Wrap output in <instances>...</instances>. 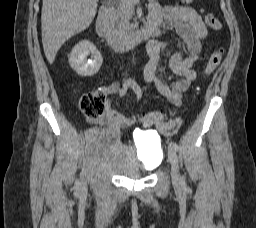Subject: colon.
I'll list each match as a JSON object with an SVG mask.
<instances>
[{
    "instance_id": "colon-1",
    "label": "colon",
    "mask_w": 256,
    "mask_h": 228,
    "mask_svg": "<svg viewBox=\"0 0 256 228\" xmlns=\"http://www.w3.org/2000/svg\"><path fill=\"white\" fill-rule=\"evenodd\" d=\"M185 4H190L193 0H181ZM207 24L215 30L221 29V23L212 14L205 16ZM222 59V51L217 50L209 58L204 66L203 72L205 76L211 75L219 66ZM106 105V95L103 90L94 91L84 94L79 101V107L83 114L90 119H96L104 113ZM142 123L145 126H157L165 123L161 112H149L142 116Z\"/></svg>"
}]
</instances>
